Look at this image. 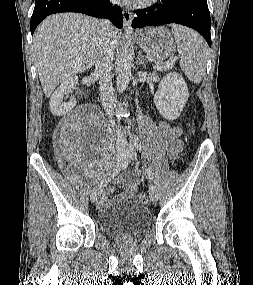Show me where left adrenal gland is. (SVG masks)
I'll use <instances>...</instances> for the list:
<instances>
[{"mask_svg":"<svg viewBox=\"0 0 253 285\" xmlns=\"http://www.w3.org/2000/svg\"><path fill=\"white\" fill-rule=\"evenodd\" d=\"M137 65H141L142 67H146V61H145V58L144 56L140 53L139 56H138V59H137Z\"/></svg>","mask_w":253,"mask_h":285,"instance_id":"1","label":"left adrenal gland"}]
</instances>
